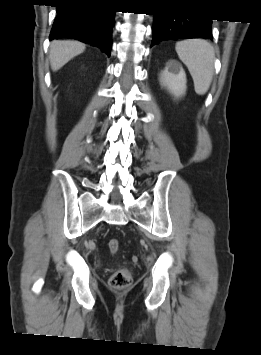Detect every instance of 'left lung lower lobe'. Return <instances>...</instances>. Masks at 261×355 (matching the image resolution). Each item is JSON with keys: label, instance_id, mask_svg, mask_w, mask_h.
<instances>
[{"label": "left lung lower lobe", "instance_id": "0a47b994", "mask_svg": "<svg viewBox=\"0 0 261 355\" xmlns=\"http://www.w3.org/2000/svg\"><path fill=\"white\" fill-rule=\"evenodd\" d=\"M211 19L154 15L151 46L164 40L212 39Z\"/></svg>", "mask_w": 261, "mask_h": 355}]
</instances>
